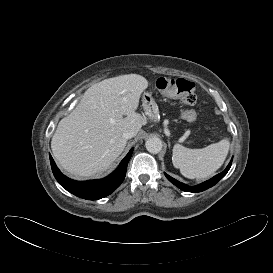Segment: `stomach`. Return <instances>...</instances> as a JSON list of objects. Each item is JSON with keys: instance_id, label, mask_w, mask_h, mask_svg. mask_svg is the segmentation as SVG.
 I'll return each mask as SVG.
<instances>
[{"instance_id": "obj_1", "label": "stomach", "mask_w": 273, "mask_h": 273, "mask_svg": "<svg viewBox=\"0 0 273 273\" xmlns=\"http://www.w3.org/2000/svg\"><path fill=\"white\" fill-rule=\"evenodd\" d=\"M174 86V81L168 79L164 76L158 77L155 80V87L158 89L159 92L163 94H168ZM142 106L145 111V114L149 117L152 121L159 120V109L158 105L155 102L154 98L152 97L151 93L146 92L142 96Z\"/></svg>"}]
</instances>
